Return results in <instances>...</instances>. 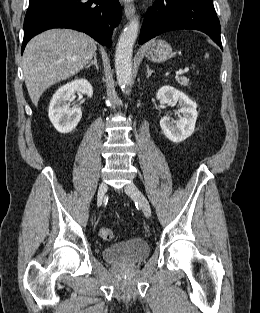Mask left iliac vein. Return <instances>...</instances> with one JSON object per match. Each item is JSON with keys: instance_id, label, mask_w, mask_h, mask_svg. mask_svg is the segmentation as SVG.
<instances>
[{"instance_id": "obj_1", "label": "left iliac vein", "mask_w": 260, "mask_h": 313, "mask_svg": "<svg viewBox=\"0 0 260 313\" xmlns=\"http://www.w3.org/2000/svg\"><path fill=\"white\" fill-rule=\"evenodd\" d=\"M124 191L131 199L140 205L144 215L149 218L151 216L150 204L138 187L133 182H130L124 187Z\"/></svg>"}]
</instances>
